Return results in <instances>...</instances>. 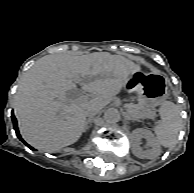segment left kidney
Here are the masks:
<instances>
[{"label":"left kidney","mask_w":194,"mask_h":193,"mask_svg":"<svg viewBox=\"0 0 194 193\" xmlns=\"http://www.w3.org/2000/svg\"><path fill=\"white\" fill-rule=\"evenodd\" d=\"M143 138L146 139L149 149L145 150L140 147ZM132 152L141 159H154L160 155L161 147L159 141L150 130L137 128L132 132Z\"/></svg>","instance_id":"obj_1"}]
</instances>
